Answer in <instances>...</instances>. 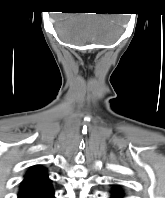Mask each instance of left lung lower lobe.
<instances>
[{"mask_svg":"<svg viewBox=\"0 0 165 198\" xmlns=\"http://www.w3.org/2000/svg\"><path fill=\"white\" fill-rule=\"evenodd\" d=\"M124 192L119 187H113L110 192V198H123Z\"/></svg>","mask_w":165,"mask_h":198,"instance_id":"obj_1","label":"left lung lower lobe"}]
</instances>
